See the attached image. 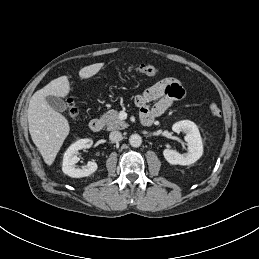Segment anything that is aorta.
Wrapping results in <instances>:
<instances>
[{
	"mask_svg": "<svg viewBox=\"0 0 259 259\" xmlns=\"http://www.w3.org/2000/svg\"><path fill=\"white\" fill-rule=\"evenodd\" d=\"M129 143L132 147H139L142 144V138L138 134H133L129 138Z\"/></svg>",
	"mask_w": 259,
	"mask_h": 259,
	"instance_id": "aorta-1",
	"label": "aorta"
}]
</instances>
